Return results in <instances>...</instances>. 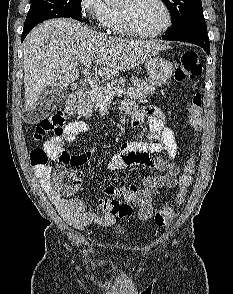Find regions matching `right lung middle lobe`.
Returning <instances> with one entry per match:
<instances>
[{
  "label": "right lung middle lobe",
  "mask_w": 233,
  "mask_h": 294,
  "mask_svg": "<svg viewBox=\"0 0 233 294\" xmlns=\"http://www.w3.org/2000/svg\"><path fill=\"white\" fill-rule=\"evenodd\" d=\"M82 0H31L24 29H32L38 23L52 18L66 17L82 21Z\"/></svg>",
  "instance_id": "right-lung-middle-lobe-1"
}]
</instances>
